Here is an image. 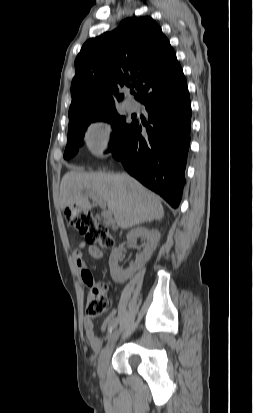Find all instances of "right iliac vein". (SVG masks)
I'll list each match as a JSON object with an SVG mask.
<instances>
[{
  "instance_id": "63e3f726",
  "label": "right iliac vein",
  "mask_w": 253,
  "mask_h": 413,
  "mask_svg": "<svg viewBox=\"0 0 253 413\" xmlns=\"http://www.w3.org/2000/svg\"><path fill=\"white\" fill-rule=\"evenodd\" d=\"M119 334H120V331L115 330L110 335L108 343L100 355L99 362H98V369H97L100 377H103L105 374L106 368L109 363L110 356L112 354L115 342L118 339Z\"/></svg>"
}]
</instances>
